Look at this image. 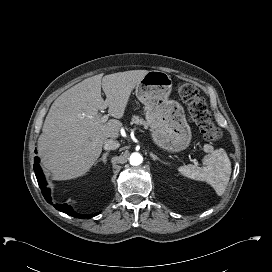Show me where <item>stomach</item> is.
<instances>
[{
  "label": "stomach",
  "instance_id": "stomach-1",
  "mask_svg": "<svg viewBox=\"0 0 272 272\" xmlns=\"http://www.w3.org/2000/svg\"><path fill=\"white\" fill-rule=\"evenodd\" d=\"M172 79L166 72L149 71L136 85L135 94L145 106L154 143L168 152L186 149L192 138L183 107L169 100Z\"/></svg>",
  "mask_w": 272,
  "mask_h": 272
}]
</instances>
